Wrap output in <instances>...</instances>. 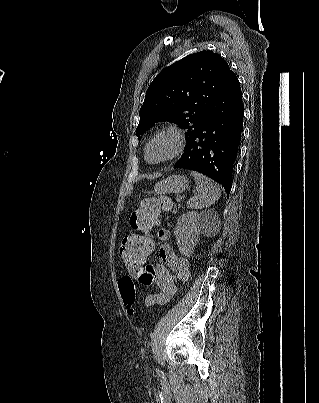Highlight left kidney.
<instances>
[{"mask_svg":"<svg viewBox=\"0 0 319 403\" xmlns=\"http://www.w3.org/2000/svg\"><path fill=\"white\" fill-rule=\"evenodd\" d=\"M213 216V217H212ZM218 216L214 210H205L202 213L191 211L183 214L177 221L174 229L177 245L180 253L190 256L198 243L200 234L206 232L211 220Z\"/></svg>","mask_w":319,"mask_h":403,"instance_id":"1","label":"left kidney"}]
</instances>
